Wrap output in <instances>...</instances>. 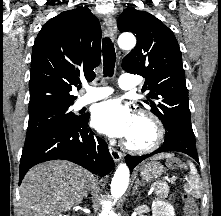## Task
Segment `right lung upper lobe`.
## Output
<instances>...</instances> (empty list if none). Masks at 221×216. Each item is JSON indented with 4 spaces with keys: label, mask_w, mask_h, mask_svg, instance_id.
Returning <instances> with one entry per match:
<instances>
[{
    "label": "right lung upper lobe",
    "mask_w": 221,
    "mask_h": 216,
    "mask_svg": "<svg viewBox=\"0 0 221 216\" xmlns=\"http://www.w3.org/2000/svg\"><path fill=\"white\" fill-rule=\"evenodd\" d=\"M102 32L87 7L50 19L40 30L32 50L29 115L72 105V87L95 78L101 60Z\"/></svg>",
    "instance_id": "obj_1"
}]
</instances>
